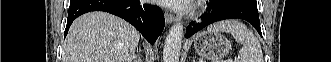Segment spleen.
<instances>
[{
    "mask_svg": "<svg viewBox=\"0 0 331 62\" xmlns=\"http://www.w3.org/2000/svg\"><path fill=\"white\" fill-rule=\"evenodd\" d=\"M207 30L218 33H230L237 43L243 45L237 62H263L261 46L253 32L245 24L236 20H225L210 25Z\"/></svg>",
    "mask_w": 331,
    "mask_h": 62,
    "instance_id": "spleen-1",
    "label": "spleen"
}]
</instances>
